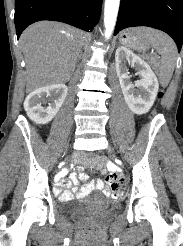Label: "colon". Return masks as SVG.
Segmentation results:
<instances>
[{
    "label": "colon",
    "instance_id": "5ec220e1",
    "mask_svg": "<svg viewBox=\"0 0 183 246\" xmlns=\"http://www.w3.org/2000/svg\"><path fill=\"white\" fill-rule=\"evenodd\" d=\"M96 154L94 153V152H87L86 153V156L89 158V160H94V156H95Z\"/></svg>",
    "mask_w": 183,
    "mask_h": 246
}]
</instances>
